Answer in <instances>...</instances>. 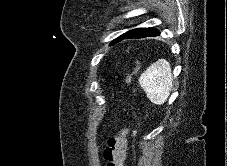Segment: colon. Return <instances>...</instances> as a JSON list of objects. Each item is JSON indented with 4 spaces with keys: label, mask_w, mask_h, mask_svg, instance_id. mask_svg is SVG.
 Returning <instances> with one entry per match:
<instances>
[{
    "label": "colon",
    "mask_w": 227,
    "mask_h": 166,
    "mask_svg": "<svg viewBox=\"0 0 227 166\" xmlns=\"http://www.w3.org/2000/svg\"><path fill=\"white\" fill-rule=\"evenodd\" d=\"M130 74L126 77L129 79ZM106 166H123L126 158V139L125 133L120 132L110 137L104 150Z\"/></svg>",
    "instance_id": "1"
}]
</instances>
